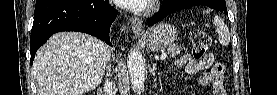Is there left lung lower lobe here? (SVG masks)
Masks as SVG:
<instances>
[{
  "label": "left lung lower lobe",
  "instance_id": "obj_1",
  "mask_svg": "<svg viewBox=\"0 0 277 95\" xmlns=\"http://www.w3.org/2000/svg\"><path fill=\"white\" fill-rule=\"evenodd\" d=\"M210 1L211 0H171L170 2L163 4L161 10L153 17L149 18L147 23L152 26L171 13L196 5L209 6ZM214 2L215 5L219 7L217 10L228 15L224 0H215Z\"/></svg>",
  "mask_w": 277,
  "mask_h": 95
}]
</instances>
